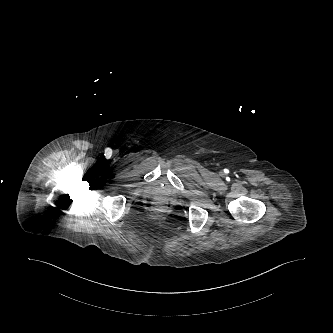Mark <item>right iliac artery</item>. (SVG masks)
I'll use <instances>...</instances> for the list:
<instances>
[{"instance_id":"obj_1","label":"right iliac artery","mask_w":333,"mask_h":333,"mask_svg":"<svg viewBox=\"0 0 333 333\" xmlns=\"http://www.w3.org/2000/svg\"><path fill=\"white\" fill-rule=\"evenodd\" d=\"M105 153H106V154H110V153H111V149H110V148H106V149H105Z\"/></svg>"}]
</instances>
